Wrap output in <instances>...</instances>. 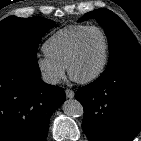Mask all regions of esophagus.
Wrapping results in <instances>:
<instances>
[{"mask_svg": "<svg viewBox=\"0 0 141 141\" xmlns=\"http://www.w3.org/2000/svg\"><path fill=\"white\" fill-rule=\"evenodd\" d=\"M65 94L67 98H73L74 97V92L71 89H66Z\"/></svg>", "mask_w": 141, "mask_h": 141, "instance_id": "1", "label": "esophagus"}]
</instances>
